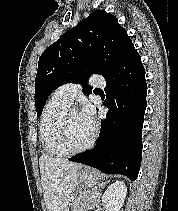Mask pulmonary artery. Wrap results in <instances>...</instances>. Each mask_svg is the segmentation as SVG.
I'll list each match as a JSON object with an SVG mask.
<instances>
[{
    "label": "pulmonary artery",
    "instance_id": "obj_1",
    "mask_svg": "<svg viewBox=\"0 0 178 211\" xmlns=\"http://www.w3.org/2000/svg\"><path fill=\"white\" fill-rule=\"evenodd\" d=\"M89 85L93 87H103L105 85V80L98 75H93L89 78ZM80 88L81 84L79 82L66 83L57 88L55 94L70 105Z\"/></svg>",
    "mask_w": 178,
    "mask_h": 211
}]
</instances>
